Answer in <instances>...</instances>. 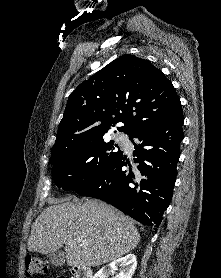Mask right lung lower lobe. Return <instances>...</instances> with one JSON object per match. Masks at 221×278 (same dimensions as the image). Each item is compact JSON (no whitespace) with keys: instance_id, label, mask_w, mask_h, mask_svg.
<instances>
[{"instance_id":"98d812e1","label":"right lung lower lobe","mask_w":221,"mask_h":278,"mask_svg":"<svg viewBox=\"0 0 221 278\" xmlns=\"http://www.w3.org/2000/svg\"><path fill=\"white\" fill-rule=\"evenodd\" d=\"M183 122L181 114L131 132V141L137 139L133 142L135 164L132 166L121 152L104 171L75 191L106 201L156 229L173 196ZM124 166L129 170H123Z\"/></svg>"}]
</instances>
